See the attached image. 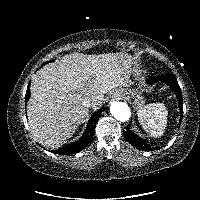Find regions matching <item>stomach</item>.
I'll list each match as a JSON object with an SVG mask.
<instances>
[{
  "instance_id": "obj_1",
  "label": "stomach",
  "mask_w": 200,
  "mask_h": 200,
  "mask_svg": "<svg viewBox=\"0 0 200 200\" xmlns=\"http://www.w3.org/2000/svg\"><path fill=\"white\" fill-rule=\"evenodd\" d=\"M117 91H120L123 93L124 96L128 97L130 95L135 96V102L138 106V108H141L143 106L144 100L143 97L140 94H137L136 91L126 88H120L117 89Z\"/></svg>"
}]
</instances>
